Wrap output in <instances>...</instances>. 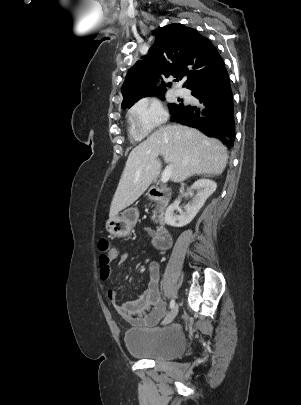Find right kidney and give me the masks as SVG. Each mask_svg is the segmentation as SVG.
Returning <instances> with one entry per match:
<instances>
[{"label": "right kidney", "instance_id": "1", "mask_svg": "<svg viewBox=\"0 0 301 405\" xmlns=\"http://www.w3.org/2000/svg\"><path fill=\"white\" fill-rule=\"evenodd\" d=\"M217 184L210 179H199L193 183L190 190L196 189L197 195L185 207V211L180 215L175 214L179 209L180 197L174 203L168 206L165 212V222L173 227H183L189 224L199 210L204 205L205 201L215 192Z\"/></svg>", "mask_w": 301, "mask_h": 405}]
</instances>
